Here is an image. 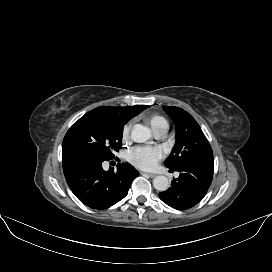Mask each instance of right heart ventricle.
<instances>
[{
    "label": "right heart ventricle",
    "mask_w": 272,
    "mask_h": 272,
    "mask_svg": "<svg viewBox=\"0 0 272 272\" xmlns=\"http://www.w3.org/2000/svg\"><path fill=\"white\" fill-rule=\"evenodd\" d=\"M144 120L150 125L153 132L167 131L169 123L167 119L160 114H149L144 117Z\"/></svg>",
    "instance_id": "e07e8e85"
}]
</instances>
